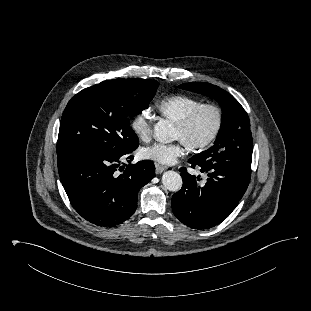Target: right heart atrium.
<instances>
[{"instance_id":"d8ad5b80","label":"right heart atrium","mask_w":311,"mask_h":311,"mask_svg":"<svg viewBox=\"0 0 311 311\" xmlns=\"http://www.w3.org/2000/svg\"><path fill=\"white\" fill-rule=\"evenodd\" d=\"M131 130L141 141H148L152 134V118L149 109L137 113L131 120Z\"/></svg>"}]
</instances>
